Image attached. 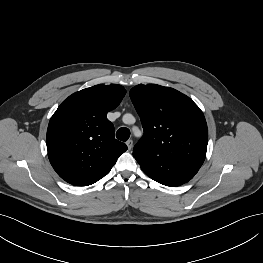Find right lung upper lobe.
Returning <instances> with one entry per match:
<instances>
[{"instance_id": "1", "label": "right lung upper lobe", "mask_w": 263, "mask_h": 263, "mask_svg": "<svg viewBox=\"0 0 263 263\" xmlns=\"http://www.w3.org/2000/svg\"><path fill=\"white\" fill-rule=\"evenodd\" d=\"M126 94L121 85H96L65 99L50 119L47 150L66 182L87 186L109 173L127 146L114 138L106 118Z\"/></svg>"}]
</instances>
